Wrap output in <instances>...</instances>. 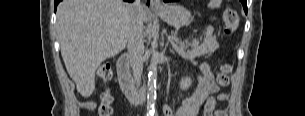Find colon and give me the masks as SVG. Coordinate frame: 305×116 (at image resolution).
Here are the masks:
<instances>
[{"mask_svg":"<svg viewBox=\"0 0 305 116\" xmlns=\"http://www.w3.org/2000/svg\"><path fill=\"white\" fill-rule=\"evenodd\" d=\"M224 23V30L227 34L235 31L239 23L238 13L233 9H225L222 14ZM232 73V65L229 63H222L217 73V83L220 86H226L229 83L230 75ZM97 76L104 81H109L112 78V68L110 64L103 63L98 67ZM113 97L109 91L102 94L101 103L99 107L100 116H111Z\"/></svg>","mask_w":305,"mask_h":116,"instance_id":"5ec220e1","label":"colon"}]
</instances>
